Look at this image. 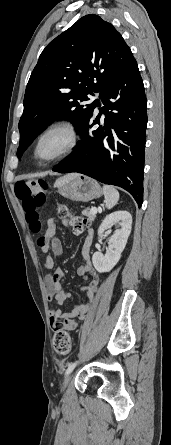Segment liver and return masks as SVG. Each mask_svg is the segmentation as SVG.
I'll return each mask as SVG.
<instances>
[{
  "mask_svg": "<svg viewBox=\"0 0 171 445\" xmlns=\"http://www.w3.org/2000/svg\"><path fill=\"white\" fill-rule=\"evenodd\" d=\"M77 175H69V176H66V178H74V177H76Z\"/></svg>",
  "mask_w": 171,
  "mask_h": 445,
  "instance_id": "liver-1",
  "label": "liver"
}]
</instances>
